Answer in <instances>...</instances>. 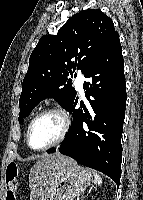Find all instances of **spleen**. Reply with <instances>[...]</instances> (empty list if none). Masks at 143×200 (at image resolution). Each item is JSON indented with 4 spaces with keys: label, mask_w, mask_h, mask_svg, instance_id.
<instances>
[{
    "label": "spleen",
    "mask_w": 143,
    "mask_h": 200,
    "mask_svg": "<svg viewBox=\"0 0 143 200\" xmlns=\"http://www.w3.org/2000/svg\"><path fill=\"white\" fill-rule=\"evenodd\" d=\"M93 176H94V184L95 185H101L102 184L101 176L95 171H93Z\"/></svg>",
    "instance_id": "obj_1"
}]
</instances>
